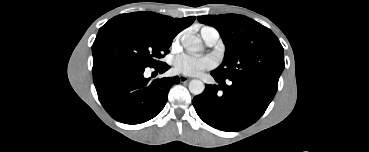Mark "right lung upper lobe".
<instances>
[{"instance_id": "cb5924a9", "label": "right lung upper lobe", "mask_w": 369, "mask_h": 152, "mask_svg": "<svg viewBox=\"0 0 369 152\" xmlns=\"http://www.w3.org/2000/svg\"><path fill=\"white\" fill-rule=\"evenodd\" d=\"M119 17L127 19L158 35L172 39L184 28L190 26L195 20L194 16L180 19L153 12L126 13L119 15Z\"/></svg>"}]
</instances>
